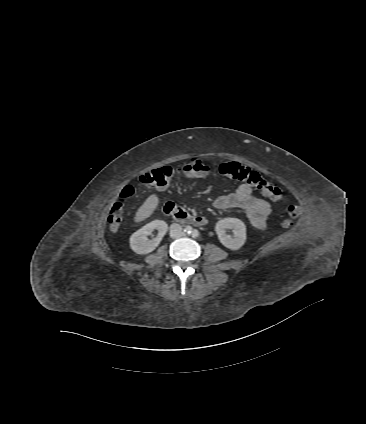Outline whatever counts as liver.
<instances>
[{
  "label": "liver",
  "mask_w": 366,
  "mask_h": 424,
  "mask_svg": "<svg viewBox=\"0 0 366 424\" xmlns=\"http://www.w3.org/2000/svg\"><path fill=\"white\" fill-rule=\"evenodd\" d=\"M158 204V196L155 194L150 195L136 212L135 222H141L148 218L155 211Z\"/></svg>",
  "instance_id": "6515ba94"
}]
</instances>
